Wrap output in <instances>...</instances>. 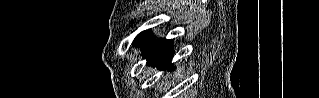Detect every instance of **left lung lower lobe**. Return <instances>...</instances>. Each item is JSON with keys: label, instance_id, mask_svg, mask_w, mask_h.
I'll return each mask as SVG.
<instances>
[{"label": "left lung lower lobe", "instance_id": "1", "mask_svg": "<svg viewBox=\"0 0 319 98\" xmlns=\"http://www.w3.org/2000/svg\"><path fill=\"white\" fill-rule=\"evenodd\" d=\"M137 47H141L148 65L172 70L170 61L173 57L172 40L155 39L150 30L141 32L133 41Z\"/></svg>", "mask_w": 319, "mask_h": 98}]
</instances>
